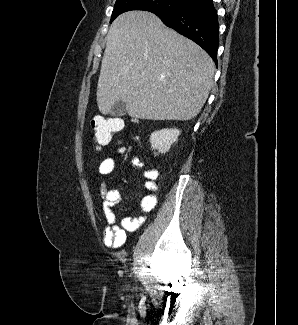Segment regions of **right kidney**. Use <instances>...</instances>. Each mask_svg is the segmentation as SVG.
<instances>
[{
    "label": "right kidney",
    "mask_w": 298,
    "mask_h": 325,
    "mask_svg": "<svg viewBox=\"0 0 298 325\" xmlns=\"http://www.w3.org/2000/svg\"><path fill=\"white\" fill-rule=\"evenodd\" d=\"M179 134H181L179 128H161V130L151 132L149 140L152 150H157V152H154L155 156L160 152H168L171 144L178 140Z\"/></svg>",
    "instance_id": "1"
}]
</instances>
